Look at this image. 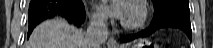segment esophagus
<instances>
[{"instance_id": "esophagus-1", "label": "esophagus", "mask_w": 213, "mask_h": 48, "mask_svg": "<svg viewBox=\"0 0 213 48\" xmlns=\"http://www.w3.org/2000/svg\"><path fill=\"white\" fill-rule=\"evenodd\" d=\"M107 46H108L109 48H118V44H117L116 40H115L113 37H111V38L108 40Z\"/></svg>"}]
</instances>
